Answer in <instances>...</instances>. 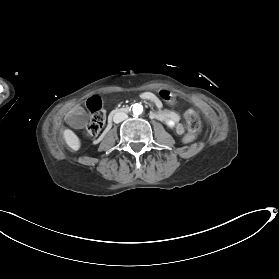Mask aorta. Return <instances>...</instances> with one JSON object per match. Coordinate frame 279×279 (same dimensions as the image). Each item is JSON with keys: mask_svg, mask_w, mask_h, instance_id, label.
<instances>
[{"mask_svg": "<svg viewBox=\"0 0 279 279\" xmlns=\"http://www.w3.org/2000/svg\"><path fill=\"white\" fill-rule=\"evenodd\" d=\"M132 111L135 115H139L143 111V106L141 104L136 103L133 105Z\"/></svg>", "mask_w": 279, "mask_h": 279, "instance_id": "1", "label": "aorta"}]
</instances>
